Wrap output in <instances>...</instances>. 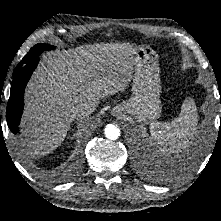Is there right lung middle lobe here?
Segmentation results:
<instances>
[{
  "instance_id": "right-lung-middle-lobe-1",
  "label": "right lung middle lobe",
  "mask_w": 221,
  "mask_h": 221,
  "mask_svg": "<svg viewBox=\"0 0 221 221\" xmlns=\"http://www.w3.org/2000/svg\"><path fill=\"white\" fill-rule=\"evenodd\" d=\"M54 49L53 46L48 44H37L34 47L30 49V51L25 55V57L22 59V62H26L33 57L39 56L43 51L52 50Z\"/></svg>"
}]
</instances>
